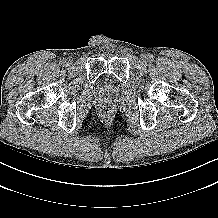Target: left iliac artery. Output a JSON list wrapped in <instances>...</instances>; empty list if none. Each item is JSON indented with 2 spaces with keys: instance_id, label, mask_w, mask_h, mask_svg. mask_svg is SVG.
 <instances>
[{
  "instance_id": "obj_1",
  "label": "left iliac artery",
  "mask_w": 218,
  "mask_h": 218,
  "mask_svg": "<svg viewBox=\"0 0 218 218\" xmlns=\"http://www.w3.org/2000/svg\"><path fill=\"white\" fill-rule=\"evenodd\" d=\"M148 59H149L150 61H153L154 56L149 54V55H148Z\"/></svg>"
}]
</instances>
